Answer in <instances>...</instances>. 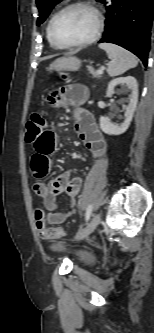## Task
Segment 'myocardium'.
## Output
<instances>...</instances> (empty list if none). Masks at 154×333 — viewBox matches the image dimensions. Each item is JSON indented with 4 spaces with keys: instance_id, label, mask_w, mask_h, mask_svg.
Wrapping results in <instances>:
<instances>
[{
    "instance_id": "myocardium-1",
    "label": "myocardium",
    "mask_w": 154,
    "mask_h": 333,
    "mask_svg": "<svg viewBox=\"0 0 154 333\" xmlns=\"http://www.w3.org/2000/svg\"><path fill=\"white\" fill-rule=\"evenodd\" d=\"M72 8H85L91 11L95 18V29L93 34L89 38L83 41L72 44H62L61 42L58 41V39L54 34V24L61 14ZM102 30H103V18L100 11L93 4L85 1H76L66 4L52 16L48 25L49 36L54 45L60 49H74L90 45L100 37Z\"/></svg>"
}]
</instances>
